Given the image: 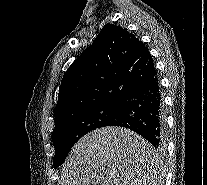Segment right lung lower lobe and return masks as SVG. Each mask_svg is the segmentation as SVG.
<instances>
[{
  "label": "right lung lower lobe",
  "instance_id": "98d812e1",
  "mask_svg": "<svg viewBox=\"0 0 207 185\" xmlns=\"http://www.w3.org/2000/svg\"><path fill=\"white\" fill-rule=\"evenodd\" d=\"M105 126H121L135 131L156 149L165 144V114L159 79L144 82L121 102L115 121Z\"/></svg>",
  "mask_w": 207,
  "mask_h": 185
}]
</instances>
